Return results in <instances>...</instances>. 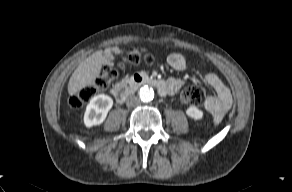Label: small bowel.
Segmentation results:
<instances>
[{
  "instance_id": "c3829d8e",
  "label": "small bowel",
  "mask_w": 292,
  "mask_h": 192,
  "mask_svg": "<svg viewBox=\"0 0 292 192\" xmlns=\"http://www.w3.org/2000/svg\"><path fill=\"white\" fill-rule=\"evenodd\" d=\"M122 53L120 48H111L105 52V65H113V59ZM167 62L169 66L177 71L187 69V62L180 53H172L168 56ZM205 82L214 90V95L208 99L205 104L207 111L211 114L212 121L218 123L225 116L232 104V96L229 88L223 81L214 73L208 72L204 76ZM167 93H178L185 85L182 78L172 77L167 80Z\"/></svg>"
}]
</instances>
